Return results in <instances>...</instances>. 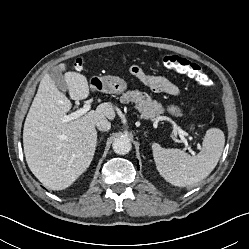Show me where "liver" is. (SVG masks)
Listing matches in <instances>:
<instances>
[{
    "mask_svg": "<svg viewBox=\"0 0 249 249\" xmlns=\"http://www.w3.org/2000/svg\"><path fill=\"white\" fill-rule=\"evenodd\" d=\"M56 68L62 71L66 65L60 64ZM64 79L73 100L86 99L90 88L95 90L80 73L66 72ZM71 108L70 100L46 74L24 123L23 146L27 164L35 177L52 190L69 187L87 170L96 150V122L115 118L112 104L105 102L82 117L62 122L61 118Z\"/></svg>",
    "mask_w": 249,
    "mask_h": 249,
    "instance_id": "obj_1",
    "label": "liver"
}]
</instances>
